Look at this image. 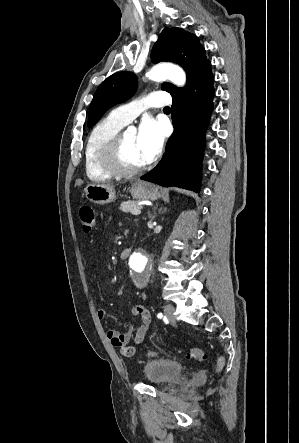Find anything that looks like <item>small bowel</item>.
<instances>
[{
  "label": "small bowel",
  "instance_id": "small-bowel-1",
  "mask_svg": "<svg viewBox=\"0 0 299 443\" xmlns=\"http://www.w3.org/2000/svg\"><path fill=\"white\" fill-rule=\"evenodd\" d=\"M107 314L105 307H98L97 315L104 318ZM132 315L141 320L140 326L137 328L136 334L132 337V329L120 333L116 330H108L107 337L109 342L121 350L123 355L131 357L135 354L138 345L142 344L147 338L151 328V317L149 311L143 305H136L132 309Z\"/></svg>",
  "mask_w": 299,
  "mask_h": 443
}]
</instances>
